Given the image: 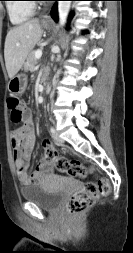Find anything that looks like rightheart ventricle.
<instances>
[{"label":"right heart ventricle","mask_w":133,"mask_h":253,"mask_svg":"<svg viewBox=\"0 0 133 253\" xmlns=\"http://www.w3.org/2000/svg\"><path fill=\"white\" fill-rule=\"evenodd\" d=\"M8 15L13 24H22L34 14V5L25 0H12L7 4Z\"/></svg>","instance_id":"obj_1"}]
</instances>
